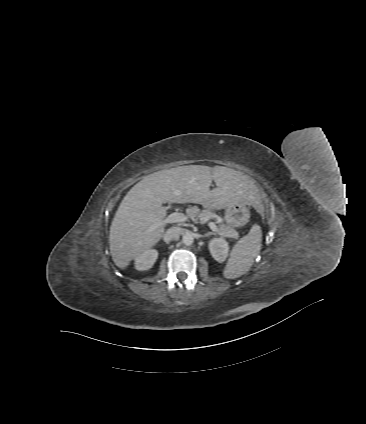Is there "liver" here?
Returning a JSON list of instances; mask_svg holds the SVG:
<instances>
[{
	"mask_svg": "<svg viewBox=\"0 0 366 424\" xmlns=\"http://www.w3.org/2000/svg\"><path fill=\"white\" fill-rule=\"evenodd\" d=\"M212 180L216 188L210 189ZM196 203L212 210L232 204L251 205L262 212L258 189L247 175L233 169L190 165L162 170L135 184L120 203L110 226L112 260L120 269L164 235L167 216L163 204Z\"/></svg>",
	"mask_w": 366,
	"mask_h": 424,
	"instance_id": "1",
	"label": "liver"
}]
</instances>
